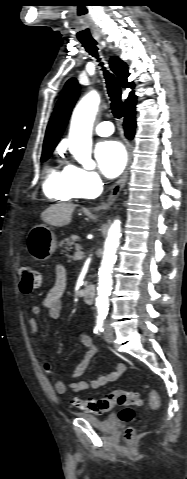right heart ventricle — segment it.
Wrapping results in <instances>:
<instances>
[{
  "label": "right heart ventricle",
  "instance_id": "1",
  "mask_svg": "<svg viewBox=\"0 0 187 479\" xmlns=\"http://www.w3.org/2000/svg\"><path fill=\"white\" fill-rule=\"evenodd\" d=\"M43 190L48 198L58 201H71L79 197L71 181L68 166L48 167L43 181Z\"/></svg>",
  "mask_w": 187,
  "mask_h": 479
}]
</instances>
